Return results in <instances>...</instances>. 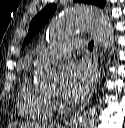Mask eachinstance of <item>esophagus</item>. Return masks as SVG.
Wrapping results in <instances>:
<instances>
[{
  "instance_id": "34e87169",
  "label": "esophagus",
  "mask_w": 125,
  "mask_h": 128,
  "mask_svg": "<svg viewBox=\"0 0 125 128\" xmlns=\"http://www.w3.org/2000/svg\"><path fill=\"white\" fill-rule=\"evenodd\" d=\"M93 63H94L95 76H94V82H93V85L90 89V93L88 95V98L81 105V107L73 114V116L70 118V120L65 123V127H70L73 123L76 122V120L79 118L80 114L82 113V111L86 107L87 103L92 98V95H93L94 90L96 88V84H97L98 76H99L98 41L96 39H94Z\"/></svg>"
}]
</instances>
